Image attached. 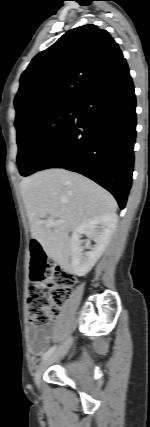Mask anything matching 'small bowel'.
<instances>
[{
    "label": "small bowel",
    "instance_id": "small-bowel-1",
    "mask_svg": "<svg viewBox=\"0 0 150 427\" xmlns=\"http://www.w3.org/2000/svg\"><path fill=\"white\" fill-rule=\"evenodd\" d=\"M53 331V327L31 329L29 331V352L32 356H39L45 351Z\"/></svg>",
    "mask_w": 150,
    "mask_h": 427
}]
</instances>
